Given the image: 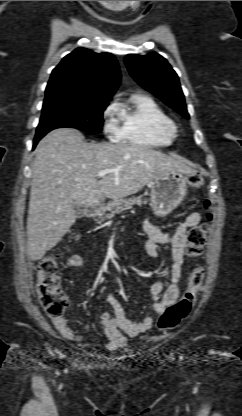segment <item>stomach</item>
I'll use <instances>...</instances> for the list:
<instances>
[{
    "mask_svg": "<svg viewBox=\"0 0 242 416\" xmlns=\"http://www.w3.org/2000/svg\"><path fill=\"white\" fill-rule=\"evenodd\" d=\"M187 176L181 172H163L150 183L151 207L155 215L165 216L172 212L187 193Z\"/></svg>",
    "mask_w": 242,
    "mask_h": 416,
    "instance_id": "1",
    "label": "stomach"
}]
</instances>
